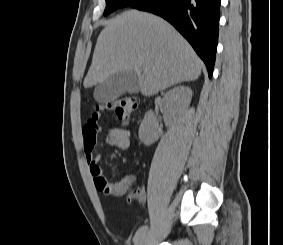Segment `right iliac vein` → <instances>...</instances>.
<instances>
[{
    "instance_id": "63e3f726",
    "label": "right iliac vein",
    "mask_w": 283,
    "mask_h": 245,
    "mask_svg": "<svg viewBox=\"0 0 283 245\" xmlns=\"http://www.w3.org/2000/svg\"><path fill=\"white\" fill-rule=\"evenodd\" d=\"M150 236V232L144 233L139 239L138 241L135 243V245H145L147 239Z\"/></svg>"
}]
</instances>
